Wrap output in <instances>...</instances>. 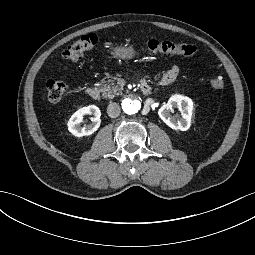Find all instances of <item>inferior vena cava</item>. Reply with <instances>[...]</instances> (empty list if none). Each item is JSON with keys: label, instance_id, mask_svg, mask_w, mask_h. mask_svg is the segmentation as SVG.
Returning <instances> with one entry per match:
<instances>
[{"label": "inferior vena cava", "instance_id": "1", "mask_svg": "<svg viewBox=\"0 0 255 255\" xmlns=\"http://www.w3.org/2000/svg\"><path fill=\"white\" fill-rule=\"evenodd\" d=\"M120 106L116 102H110L107 107V114L111 118H116L120 115Z\"/></svg>", "mask_w": 255, "mask_h": 255}]
</instances>
